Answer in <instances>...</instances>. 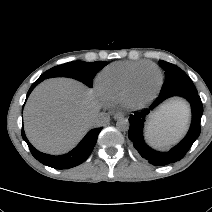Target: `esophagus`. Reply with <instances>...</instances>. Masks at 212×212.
<instances>
[{"instance_id":"obj_1","label":"esophagus","mask_w":212,"mask_h":212,"mask_svg":"<svg viewBox=\"0 0 212 212\" xmlns=\"http://www.w3.org/2000/svg\"><path fill=\"white\" fill-rule=\"evenodd\" d=\"M124 117V114L121 113V112H117L114 114V119L115 120H119V119H122Z\"/></svg>"}]
</instances>
